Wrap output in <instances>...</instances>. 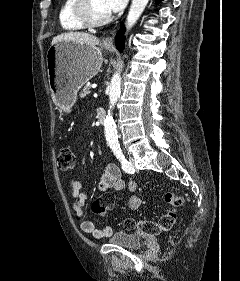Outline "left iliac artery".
Returning <instances> with one entry per match:
<instances>
[{
  "label": "left iliac artery",
  "mask_w": 240,
  "mask_h": 281,
  "mask_svg": "<svg viewBox=\"0 0 240 281\" xmlns=\"http://www.w3.org/2000/svg\"><path fill=\"white\" fill-rule=\"evenodd\" d=\"M110 148L112 149L114 155L120 161L122 169L126 173L133 174L135 172L134 168L132 167L131 163L125 159V156L120 148L119 143H111Z\"/></svg>",
  "instance_id": "1"
}]
</instances>
